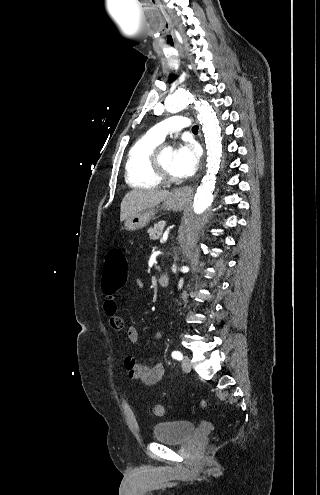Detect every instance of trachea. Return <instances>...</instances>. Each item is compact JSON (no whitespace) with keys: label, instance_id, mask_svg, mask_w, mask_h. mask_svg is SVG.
Wrapping results in <instances>:
<instances>
[{"label":"trachea","instance_id":"obj_1","mask_svg":"<svg viewBox=\"0 0 320 495\" xmlns=\"http://www.w3.org/2000/svg\"><path fill=\"white\" fill-rule=\"evenodd\" d=\"M198 129H199L198 126L195 125V126L192 127V132L197 133L198 132Z\"/></svg>","mask_w":320,"mask_h":495}]
</instances>
